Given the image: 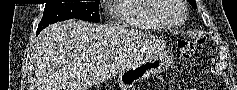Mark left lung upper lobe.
Instances as JSON below:
<instances>
[{"instance_id":"1","label":"left lung upper lobe","mask_w":237,"mask_h":90,"mask_svg":"<svg viewBox=\"0 0 237 90\" xmlns=\"http://www.w3.org/2000/svg\"><path fill=\"white\" fill-rule=\"evenodd\" d=\"M188 2L190 3V5L193 7V8H197L196 7V2H195V0H188Z\"/></svg>"}]
</instances>
